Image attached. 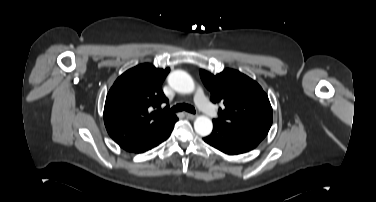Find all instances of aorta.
Returning <instances> with one entry per match:
<instances>
[{"label": "aorta", "instance_id": "obj_1", "mask_svg": "<svg viewBox=\"0 0 376 202\" xmlns=\"http://www.w3.org/2000/svg\"><path fill=\"white\" fill-rule=\"evenodd\" d=\"M169 85L177 92L188 94L194 91L195 84L192 77L185 71L176 70L168 76ZM213 124L210 118L199 116L194 122V129L200 136H207L212 132Z\"/></svg>", "mask_w": 376, "mask_h": 202}]
</instances>
